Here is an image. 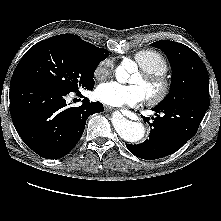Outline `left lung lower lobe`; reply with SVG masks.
I'll list each match as a JSON object with an SVG mask.
<instances>
[{
  "label": "left lung lower lobe",
  "instance_id": "obj_1",
  "mask_svg": "<svg viewBox=\"0 0 221 221\" xmlns=\"http://www.w3.org/2000/svg\"><path fill=\"white\" fill-rule=\"evenodd\" d=\"M209 104L210 100L205 99L168 106L157 105L152 109L156 112V117L151 118V123L150 118L142 116L151 127L149 139L138 145L126 144V147L136 156L146 160L173 154L196 134Z\"/></svg>",
  "mask_w": 221,
  "mask_h": 221
}]
</instances>
